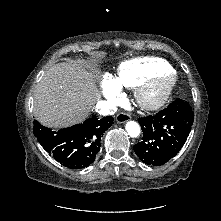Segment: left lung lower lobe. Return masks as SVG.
<instances>
[{
  "instance_id": "obj_1",
  "label": "left lung lower lobe",
  "mask_w": 221,
  "mask_h": 221,
  "mask_svg": "<svg viewBox=\"0 0 221 221\" xmlns=\"http://www.w3.org/2000/svg\"><path fill=\"white\" fill-rule=\"evenodd\" d=\"M194 114L187 101L177 99L155 115L139 118L143 139L134 145L146 164L160 166L183 147L191 131Z\"/></svg>"
}]
</instances>
